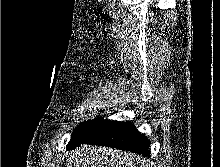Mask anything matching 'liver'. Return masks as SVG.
<instances>
[{"mask_svg":"<svg viewBox=\"0 0 220 167\" xmlns=\"http://www.w3.org/2000/svg\"><path fill=\"white\" fill-rule=\"evenodd\" d=\"M67 167H148L145 160L118 149L82 146L71 151Z\"/></svg>","mask_w":220,"mask_h":167,"instance_id":"1","label":"liver"}]
</instances>
